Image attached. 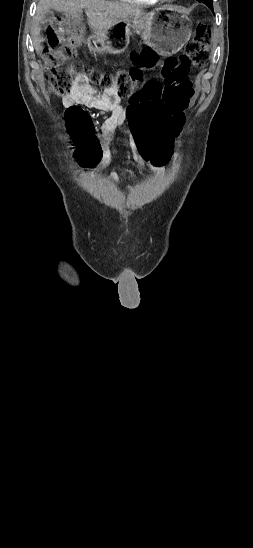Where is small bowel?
Instances as JSON below:
<instances>
[{
	"label": "small bowel",
	"instance_id": "1",
	"mask_svg": "<svg viewBox=\"0 0 253 548\" xmlns=\"http://www.w3.org/2000/svg\"><path fill=\"white\" fill-rule=\"evenodd\" d=\"M153 60L156 59L154 58ZM119 102L120 96L116 86L100 92L92 88L88 83L87 77L81 73L76 75L71 91L63 97V104L67 107L82 105L110 114L101 126L104 143L101 146V154L98 160L93 163V167L103 168L112 161L114 134L118 129H124L128 136L132 160L140 167H150L155 172L156 177H160L163 173V166H151L149 158L143 159L140 156V150L137 148L138 141L133 138L132 133L129 132V126L126 125L127 108L122 107ZM172 153L171 147V155ZM110 179L114 183L120 182V177L116 172L110 174Z\"/></svg>",
	"mask_w": 253,
	"mask_h": 548
}]
</instances>
